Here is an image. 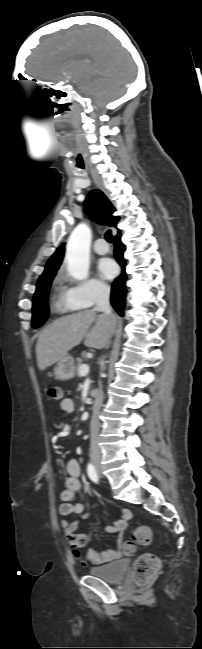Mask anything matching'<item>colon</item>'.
Returning <instances> with one entry per match:
<instances>
[{
    "label": "colon",
    "mask_w": 202,
    "mask_h": 649,
    "mask_svg": "<svg viewBox=\"0 0 202 649\" xmlns=\"http://www.w3.org/2000/svg\"><path fill=\"white\" fill-rule=\"evenodd\" d=\"M46 395L52 400L62 399V389L57 385H50L45 389ZM151 541V529L148 525H139L133 532L132 539L124 542L122 551L124 555L135 552L137 545H147ZM160 569V560L153 554L140 556L133 568L132 579L138 585H143L151 580Z\"/></svg>",
    "instance_id": "5ec220e1"
}]
</instances>
